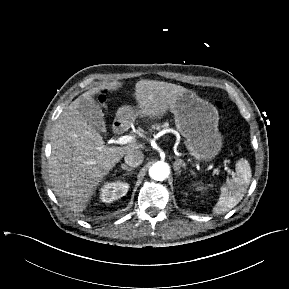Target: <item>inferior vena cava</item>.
<instances>
[{"mask_svg":"<svg viewBox=\"0 0 289 289\" xmlns=\"http://www.w3.org/2000/svg\"><path fill=\"white\" fill-rule=\"evenodd\" d=\"M125 163L131 167H137L142 164L144 154L141 150L129 151L124 157Z\"/></svg>","mask_w":289,"mask_h":289,"instance_id":"obj_1","label":"inferior vena cava"}]
</instances>
